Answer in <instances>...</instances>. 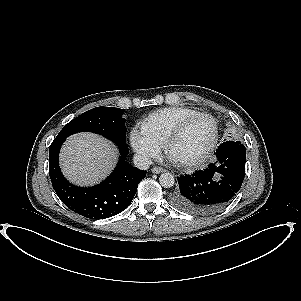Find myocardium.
Instances as JSON below:
<instances>
[{
    "instance_id": "obj_1",
    "label": "myocardium",
    "mask_w": 301,
    "mask_h": 301,
    "mask_svg": "<svg viewBox=\"0 0 301 301\" xmlns=\"http://www.w3.org/2000/svg\"><path fill=\"white\" fill-rule=\"evenodd\" d=\"M208 119L212 122L213 124V135L211 138V141L209 143V145L207 146V148L204 150V152L191 160H186V161H181V163L187 167H198L201 166L203 164H205L212 152L214 151L217 141H218V124L216 122V120L209 114L206 113H198L196 115H193L187 119H185L183 122H181L167 137L165 143H164V148L165 151L167 153V155H171V149L172 146L174 145V143L181 138V136L184 134L185 130L187 129V127L193 123L194 121H196L197 119Z\"/></svg>"
}]
</instances>
